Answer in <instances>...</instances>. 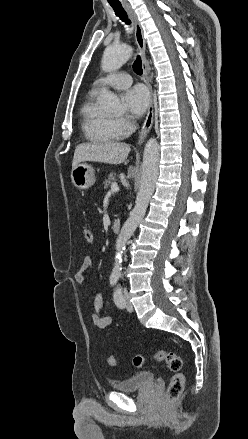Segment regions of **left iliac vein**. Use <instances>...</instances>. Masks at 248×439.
Instances as JSON below:
<instances>
[{
  "label": "left iliac vein",
  "mask_w": 248,
  "mask_h": 439,
  "mask_svg": "<svg viewBox=\"0 0 248 439\" xmlns=\"http://www.w3.org/2000/svg\"><path fill=\"white\" fill-rule=\"evenodd\" d=\"M123 303H124V307L128 310V311H132L133 310V305L131 304L130 300H129V296L128 294H124L123 296Z\"/></svg>",
  "instance_id": "left-iliac-vein-1"
}]
</instances>
